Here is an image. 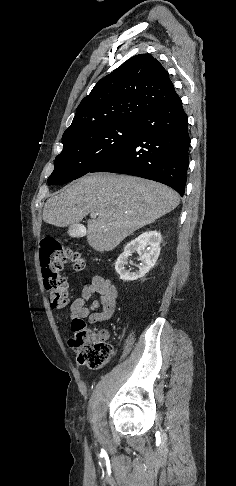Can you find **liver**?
<instances>
[{
  "label": "liver",
  "mask_w": 236,
  "mask_h": 486,
  "mask_svg": "<svg viewBox=\"0 0 236 486\" xmlns=\"http://www.w3.org/2000/svg\"><path fill=\"white\" fill-rule=\"evenodd\" d=\"M180 202L171 188L147 179L110 173L88 174L49 198L43 220L57 227L79 224L90 214L87 242L111 251L141 227L174 210Z\"/></svg>",
  "instance_id": "6515ba94"
}]
</instances>
